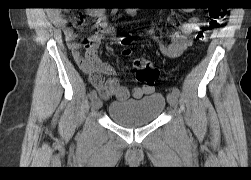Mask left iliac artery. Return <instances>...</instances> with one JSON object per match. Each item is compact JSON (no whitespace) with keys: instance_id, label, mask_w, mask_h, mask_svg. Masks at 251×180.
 <instances>
[{"instance_id":"44dca946","label":"left iliac artery","mask_w":251,"mask_h":180,"mask_svg":"<svg viewBox=\"0 0 251 180\" xmlns=\"http://www.w3.org/2000/svg\"><path fill=\"white\" fill-rule=\"evenodd\" d=\"M172 93H174L176 96H179L180 91H179V89L177 87H173L172 88Z\"/></svg>"}]
</instances>
